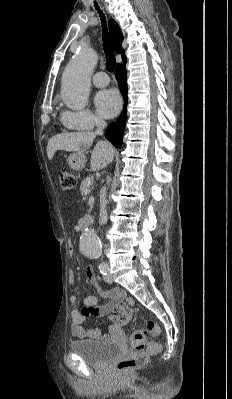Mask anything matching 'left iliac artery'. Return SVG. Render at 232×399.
<instances>
[{"label":"left iliac artery","mask_w":232,"mask_h":399,"mask_svg":"<svg viewBox=\"0 0 232 399\" xmlns=\"http://www.w3.org/2000/svg\"><path fill=\"white\" fill-rule=\"evenodd\" d=\"M92 256L95 258H102L103 254L101 253H92ZM100 272L102 274H107L109 271V265L106 262H101L99 266Z\"/></svg>","instance_id":"1"}]
</instances>
